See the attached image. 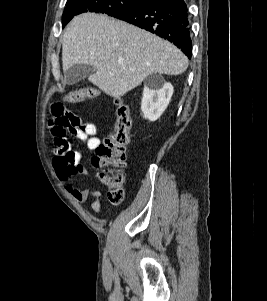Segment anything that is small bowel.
Wrapping results in <instances>:
<instances>
[{
	"instance_id": "obj_1",
	"label": "small bowel",
	"mask_w": 267,
	"mask_h": 301,
	"mask_svg": "<svg viewBox=\"0 0 267 301\" xmlns=\"http://www.w3.org/2000/svg\"><path fill=\"white\" fill-rule=\"evenodd\" d=\"M50 111L53 119L48 126L55 144L52 164L57 177L77 201L86 202L92 199L91 209L97 214L101 211V193L97 190L77 189L70 184L73 176L88 175L89 171L82 164L83 153L69 140V135L73 136L83 141L88 149L94 150L100 145L97 126L92 122H83L60 102L53 103Z\"/></svg>"
}]
</instances>
